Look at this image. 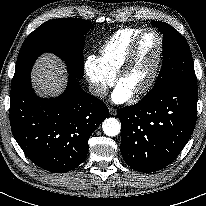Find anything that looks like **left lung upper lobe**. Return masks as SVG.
I'll list each match as a JSON object with an SVG mask.
<instances>
[{"label":"left lung upper lobe","instance_id":"obj_1","mask_svg":"<svg viewBox=\"0 0 206 206\" xmlns=\"http://www.w3.org/2000/svg\"><path fill=\"white\" fill-rule=\"evenodd\" d=\"M163 34V64L154 88L147 93L155 94L178 83H197L189 45L172 26L161 21H152Z\"/></svg>","mask_w":206,"mask_h":206}]
</instances>
